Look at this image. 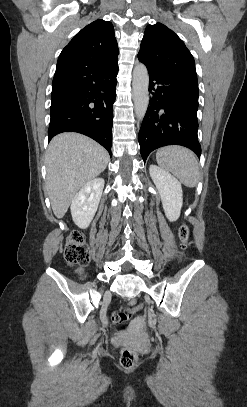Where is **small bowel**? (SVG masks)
<instances>
[{"mask_svg":"<svg viewBox=\"0 0 247 407\" xmlns=\"http://www.w3.org/2000/svg\"><path fill=\"white\" fill-rule=\"evenodd\" d=\"M76 273L78 274V276L80 277V278H83L84 277V270H83V268H78L77 270H76Z\"/></svg>","mask_w":247,"mask_h":407,"instance_id":"1","label":"small bowel"}]
</instances>
